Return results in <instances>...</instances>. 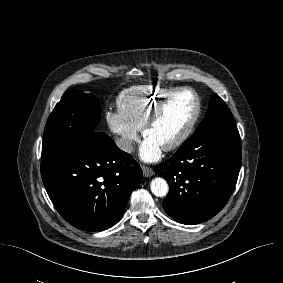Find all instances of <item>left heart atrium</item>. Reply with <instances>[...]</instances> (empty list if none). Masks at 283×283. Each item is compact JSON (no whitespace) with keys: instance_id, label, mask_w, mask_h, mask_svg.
<instances>
[{"instance_id":"39dd6f15","label":"left heart atrium","mask_w":283,"mask_h":283,"mask_svg":"<svg viewBox=\"0 0 283 283\" xmlns=\"http://www.w3.org/2000/svg\"><path fill=\"white\" fill-rule=\"evenodd\" d=\"M161 146L146 137L140 148V156L144 161L153 162L161 157Z\"/></svg>"}]
</instances>
